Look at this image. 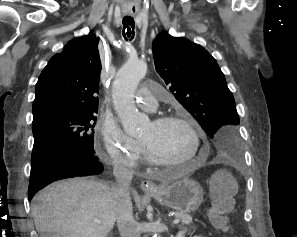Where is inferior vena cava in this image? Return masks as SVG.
Listing matches in <instances>:
<instances>
[{
	"instance_id": "obj_1",
	"label": "inferior vena cava",
	"mask_w": 297,
	"mask_h": 237,
	"mask_svg": "<svg viewBox=\"0 0 297 237\" xmlns=\"http://www.w3.org/2000/svg\"><path fill=\"white\" fill-rule=\"evenodd\" d=\"M113 174L116 186L113 188V198L117 213V225L121 237H140L138 223L132 214V203L129 196V185L133 173L124 167H115Z\"/></svg>"
}]
</instances>
